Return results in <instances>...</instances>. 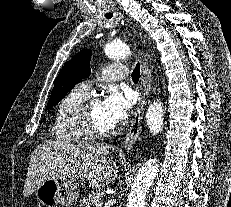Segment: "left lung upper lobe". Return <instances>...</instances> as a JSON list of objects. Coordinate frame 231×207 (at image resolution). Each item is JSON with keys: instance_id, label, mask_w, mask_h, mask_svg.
<instances>
[{"instance_id": "1", "label": "left lung upper lobe", "mask_w": 231, "mask_h": 207, "mask_svg": "<svg viewBox=\"0 0 231 207\" xmlns=\"http://www.w3.org/2000/svg\"><path fill=\"white\" fill-rule=\"evenodd\" d=\"M91 55V50H82L70 61L65 63L55 80L47 108L56 105L77 82L86 78L90 74L91 70L89 68V62Z\"/></svg>"}]
</instances>
